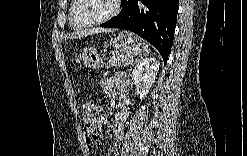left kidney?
I'll return each mask as SVG.
<instances>
[{
  "label": "left kidney",
  "mask_w": 247,
  "mask_h": 156,
  "mask_svg": "<svg viewBox=\"0 0 247 156\" xmlns=\"http://www.w3.org/2000/svg\"><path fill=\"white\" fill-rule=\"evenodd\" d=\"M160 63L154 57H149L140 60L132 71V80L134 84L140 88V99H144L149 92L150 87L153 85ZM133 105L132 103H130Z\"/></svg>",
  "instance_id": "1"
}]
</instances>
